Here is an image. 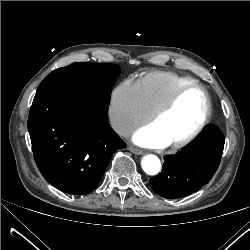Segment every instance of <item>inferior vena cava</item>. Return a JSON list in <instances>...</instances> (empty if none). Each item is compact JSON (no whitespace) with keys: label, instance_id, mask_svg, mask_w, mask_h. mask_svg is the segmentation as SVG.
<instances>
[{"label":"inferior vena cava","instance_id":"obj_1","mask_svg":"<svg viewBox=\"0 0 250 250\" xmlns=\"http://www.w3.org/2000/svg\"><path fill=\"white\" fill-rule=\"evenodd\" d=\"M111 126L116 133L122 136H127L132 131L131 125L123 120L114 119L111 121Z\"/></svg>","mask_w":250,"mask_h":250}]
</instances>
